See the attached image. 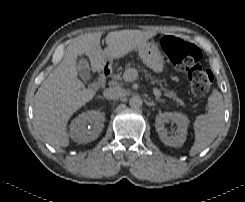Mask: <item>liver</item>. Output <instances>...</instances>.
<instances>
[{"mask_svg":"<svg viewBox=\"0 0 245 202\" xmlns=\"http://www.w3.org/2000/svg\"><path fill=\"white\" fill-rule=\"evenodd\" d=\"M155 33L120 30L106 36L107 48L100 45L101 33H88L75 38L66 48L59 65L38 88L34 99V122L41 136L55 148L67 147V123L96 92L85 88L77 78V57L87 55L93 72L104 68L106 60L119 59L144 44Z\"/></svg>","mask_w":245,"mask_h":202,"instance_id":"6515ba94","label":"liver"}]
</instances>
